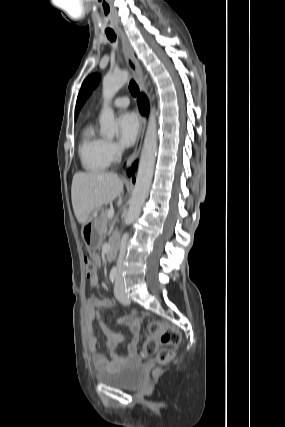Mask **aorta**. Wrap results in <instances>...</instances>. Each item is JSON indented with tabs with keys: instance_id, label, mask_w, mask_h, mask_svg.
Wrapping results in <instances>:
<instances>
[{
	"instance_id": "aorta-1",
	"label": "aorta",
	"mask_w": 285,
	"mask_h": 427,
	"mask_svg": "<svg viewBox=\"0 0 285 427\" xmlns=\"http://www.w3.org/2000/svg\"><path fill=\"white\" fill-rule=\"evenodd\" d=\"M128 79L129 74L127 71L109 74L103 78L102 94L104 102L99 119L100 131L103 136L110 139L118 133V125L115 121L114 112L110 107V102L119 89L127 83ZM157 140L156 113L152 108L140 156L136 182L125 217L126 225L132 224L138 218L148 196L157 155Z\"/></svg>"
}]
</instances>
